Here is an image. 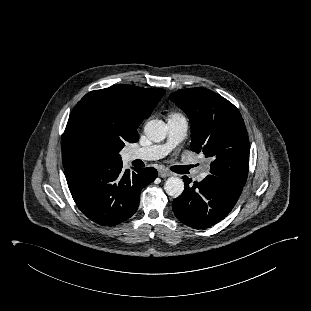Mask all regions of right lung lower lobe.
<instances>
[{"instance_id":"obj_1","label":"right lung lower lobe","mask_w":311,"mask_h":311,"mask_svg":"<svg viewBox=\"0 0 311 311\" xmlns=\"http://www.w3.org/2000/svg\"><path fill=\"white\" fill-rule=\"evenodd\" d=\"M71 195L83 214L102 226H114L128 218L139 205L143 187L158 175L154 168L122 170V162L64 170Z\"/></svg>"}]
</instances>
